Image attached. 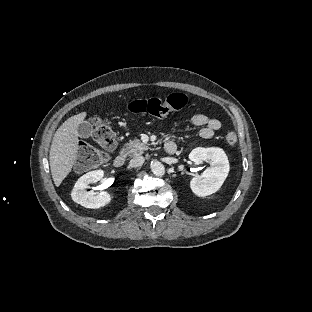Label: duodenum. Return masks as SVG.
Returning <instances> with one entry per match:
<instances>
[{
  "label": "duodenum",
  "instance_id": "duodenum-1",
  "mask_svg": "<svg viewBox=\"0 0 312 312\" xmlns=\"http://www.w3.org/2000/svg\"><path fill=\"white\" fill-rule=\"evenodd\" d=\"M163 148L168 154H171V155L177 152V146L172 142H166ZM126 160H127V152L123 151L115 157L114 162H113L114 166L117 168H122L125 165Z\"/></svg>",
  "mask_w": 312,
  "mask_h": 312
}]
</instances>
